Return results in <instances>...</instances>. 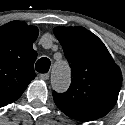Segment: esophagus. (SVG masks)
Listing matches in <instances>:
<instances>
[{
  "label": "esophagus",
  "instance_id": "1",
  "mask_svg": "<svg viewBox=\"0 0 125 125\" xmlns=\"http://www.w3.org/2000/svg\"><path fill=\"white\" fill-rule=\"evenodd\" d=\"M39 78L41 80H48L49 79V73L40 74Z\"/></svg>",
  "mask_w": 125,
  "mask_h": 125
}]
</instances>
